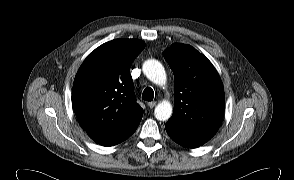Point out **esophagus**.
Here are the masks:
<instances>
[{"instance_id":"34e87169","label":"esophagus","mask_w":294,"mask_h":180,"mask_svg":"<svg viewBox=\"0 0 294 180\" xmlns=\"http://www.w3.org/2000/svg\"><path fill=\"white\" fill-rule=\"evenodd\" d=\"M147 105H148V107H149V108H151V109H152V108H154V107H155V105H156V102H155V101H151V102H148V104H147Z\"/></svg>"}]
</instances>
